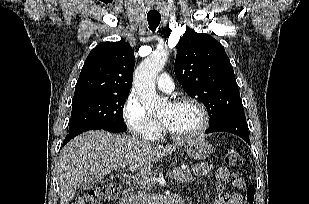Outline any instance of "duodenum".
<instances>
[{
    "instance_id": "obj_1",
    "label": "duodenum",
    "mask_w": 309,
    "mask_h": 204,
    "mask_svg": "<svg viewBox=\"0 0 309 204\" xmlns=\"http://www.w3.org/2000/svg\"><path fill=\"white\" fill-rule=\"evenodd\" d=\"M133 196V190L131 187H127L124 190L123 197H122V203L121 204H130Z\"/></svg>"
}]
</instances>
